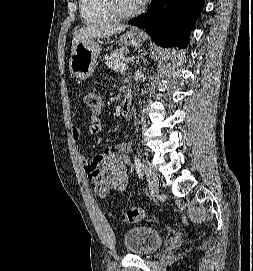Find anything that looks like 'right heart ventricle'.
I'll use <instances>...</instances> for the list:
<instances>
[{
    "label": "right heart ventricle",
    "instance_id": "e07e8e85",
    "mask_svg": "<svg viewBox=\"0 0 253 271\" xmlns=\"http://www.w3.org/2000/svg\"><path fill=\"white\" fill-rule=\"evenodd\" d=\"M79 3L80 14L86 24H105L116 19L108 0H79Z\"/></svg>",
    "mask_w": 253,
    "mask_h": 271
}]
</instances>
